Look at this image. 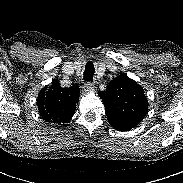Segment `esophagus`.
<instances>
[{"mask_svg":"<svg viewBox=\"0 0 183 183\" xmlns=\"http://www.w3.org/2000/svg\"><path fill=\"white\" fill-rule=\"evenodd\" d=\"M93 89H94V84L91 83V82H86V83L84 84V86H83V91H84L85 93H88V92L92 91Z\"/></svg>","mask_w":183,"mask_h":183,"instance_id":"34e87169","label":"esophagus"}]
</instances>
